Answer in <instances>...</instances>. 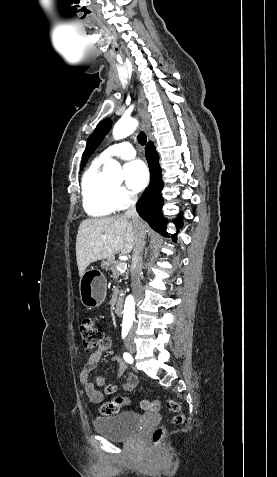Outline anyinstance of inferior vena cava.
Wrapping results in <instances>:
<instances>
[{"instance_id": "1", "label": "inferior vena cava", "mask_w": 277, "mask_h": 477, "mask_svg": "<svg viewBox=\"0 0 277 477\" xmlns=\"http://www.w3.org/2000/svg\"><path fill=\"white\" fill-rule=\"evenodd\" d=\"M138 197L136 195L131 196V205L128 210L125 212V216L132 218L136 228H137V240L133 250L132 255V266H131V288L136 302H139L141 299V282L140 274L142 271V252L144 249V239L145 233L142 229L141 220L136 211V203ZM135 331V326H133L129 332V335L132 336Z\"/></svg>"}]
</instances>
